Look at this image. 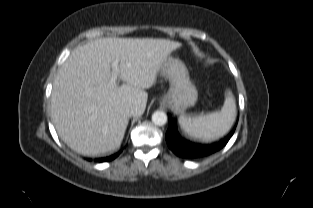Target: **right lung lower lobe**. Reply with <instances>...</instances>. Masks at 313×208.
I'll return each instance as SVG.
<instances>
[{
  "mask_svg": "<svg viewBox=\"0 0 313 208\" xmlns=\"http://www.w3.org/2000/svg\"><path fill=\"white\" fill-rule=\"evenodd\" d=\"M118 155H119V153H117V154H115V155H113V156H111V157L97 159V161H99V162L110 161V160L116 158Z\"/></svg>",
  "mask_w": 313,
  "mask_h": 208,
  "instance_id": "obj_1",
  "label": "right lung lower lobe"
}]
</instances>
